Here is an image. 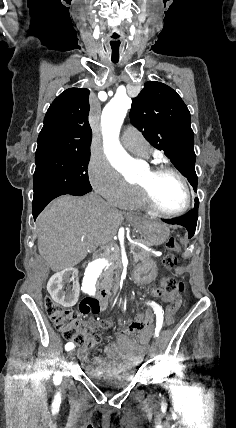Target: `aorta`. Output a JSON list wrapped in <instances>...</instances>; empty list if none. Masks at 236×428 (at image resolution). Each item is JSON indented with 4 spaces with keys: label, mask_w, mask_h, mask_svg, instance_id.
<instances>
[{
    "label": "aorta",
    "mask_w": 236,
    "mask_h": 428,
    "mask_svg": "<svg viewBox=\"0 0 236 428\" xmlns=\"http://www.w3.org/2000/svg\"><path fill=\"white\" fill-rule=\"evenodd\" d=\"M130 107L131 99L126 94L116 95L103 109L101 125L104 150L109 161L122 169L127 178L133 179L136 176L133 160L119 142L120 129ZM106 266L108 264L104 259L88 264L83 278V288L87 293L96 292V283Z\"/></svg>",
    "instance_id": "obj_1"
}]
</instances>
